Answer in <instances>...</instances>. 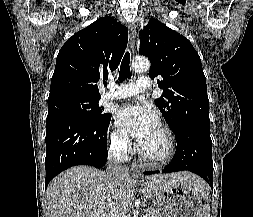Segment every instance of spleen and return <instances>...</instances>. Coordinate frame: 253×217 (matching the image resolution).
I'll return each mask as SVG.
<instances>
[{
  "mask_svg": "<svg viewBox=\"0 0 253 217\" xmlns=\"http://www.w3.org/2000/svg\"><path fill=\"white\" fill-rule=\"evenodd\" d=\"M203 195H204V200L207 203L202 208V211H203L202 217H210V215H209L210 207H209V204H208V200H209L208 195L205 192H203Z\"/></svg>",
  "mask_w": 253,
  "mask_h": 217,
  "instance_id": "3e777b00",
  "label": "spleen"
}]
</instances>
